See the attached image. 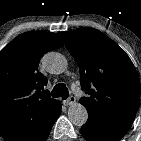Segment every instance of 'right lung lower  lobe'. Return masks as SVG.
Here are the masks:
<instances>
[{"label": "right lung lower lobe", "instance_id": "1", "mask_svg": "<svg viewBox=\"0 0 141 141\" xmlns=\"http://www.w3.org/2000/svg\"><path fill=\"white\" fill-rule=\"evenodd\" d=\"M61 112V104L34 113L4 136L6 141H45L51 127Z\"/></svg>", "mask_w": 141, "mask_h": 141}]
</instances>
